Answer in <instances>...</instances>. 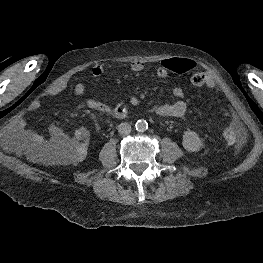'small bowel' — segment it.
Segmentation results:
<instances>
[{
  "mask_svg": "<svg viewBox=\"0 0 263 263\" xmlns=\"http://www.w3.org/2000/svg\"><path fill=\"white\" fill-rule=\"evenodd\" d=\"M172 59V58H171ZM187 61H189L192 65L191 70L194 68L195 63L186 58H182ZM170 59H164L162 60L157 69L156 74L160 78H166L169 76V74L172 72L167 66L166 62ZM144 63L141 60H134L130 64V68L133 72L139 73L144 69ZM91 73L94 77H100L104 73V68L101 64H96L92 67ZM69 86V80L68 79H62L58 81L57 83L49 86L45 90V96L46 97H55L58 95H61ZM74 94L78 97H84L86 93V88L82 83H78L73 88ZM172 94L175 98L178 100L171 102V103H165L161 105H157L153 108V113L162 116V117H181L183 116L187 111V104L181 98L184 96V90L181 87H175L172 91ZM130 104L132 106H135L137 104L136 99H132ZM123 105H109L107 103L95 100L93 98H85L83 102L78 104L77 108L82 109L84 107H88L90 109L98 110L105 113H110L116 117H119L116 115L117 110H119ZM233 123L238 124L235 117H233ZM19 129H20V135L23 140V142L27 145L30 155L34 158H41V156L58 146L63 145L67 141L73 138H81L83 140L87 139L88 132L84 128H78L74 131L72 137H69L62 128L59 126L52 124L49 127V138H45L41 134L31 130L27 126V122L25 119H21L19 121Z\"/></svg>",
  "mask_w": 263,
  "mask_h": 263,
  "instance_id": "small-bowel-1",
  "label": "small bowel"
}]
</instances>
